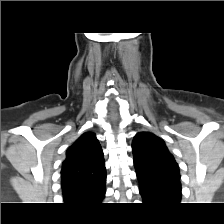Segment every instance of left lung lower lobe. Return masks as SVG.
<instances>
[{
	"label": "left lung lower lobe",
	"instance_id": "obj_1",
	"mask_svg": "<svg viewBox=\"0 0 224 224\" xmlns=\"http://www.w3.org/2000/svg\"><path fill=\"white\" fill-rule=\"evenodd\" d=\"M136 174L144 203L179 204L181 199L179 180L147 177L138 172Z\"/></svg>",
	"mask_w": 224,
	"mask_h": 224
}]
</instances>
